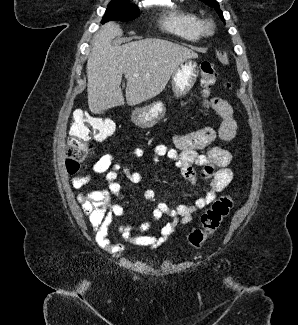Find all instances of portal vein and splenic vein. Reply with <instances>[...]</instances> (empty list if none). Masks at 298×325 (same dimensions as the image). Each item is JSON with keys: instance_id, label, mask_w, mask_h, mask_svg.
<instances>
[{"instance_id": "18ae733b", "label": "portal vein and splenic vein", "mask_w": 298, "mask_h": 325, "mask_svg": "<svg viewBox=\"0 0 298 325\" xmlns=\"http://www.w3.org/2000/svg\"><path fill=\"white\" fill-rule=\"evenodd\" d=\"M133 76H139V74H133Z\"/></svg>"}]
</instances>
